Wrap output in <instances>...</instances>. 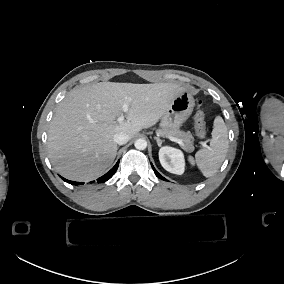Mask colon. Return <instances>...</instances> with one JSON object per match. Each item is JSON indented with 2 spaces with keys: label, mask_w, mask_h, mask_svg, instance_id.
<instances>
[{
  "label": "colon",
  "mask_w": 284,
  "mask_h": 284,
  "mask_svg": "<svg viewBox=\"0 0 284 284\" xmlns=\"http://www.w3.org/2000/svg\"><path fill=\"white\" fill-rule=\"evenodd\" d=\"M197 106H200L199 102H197ZM194 126L197 136L199 138H204L206 135V121L205 114L202 110H197L195 112Z\"/></svg>",
  "instance_id": "colon-1"
}]
</instances>
